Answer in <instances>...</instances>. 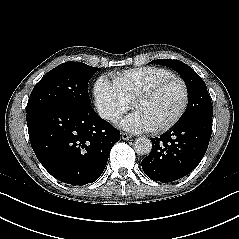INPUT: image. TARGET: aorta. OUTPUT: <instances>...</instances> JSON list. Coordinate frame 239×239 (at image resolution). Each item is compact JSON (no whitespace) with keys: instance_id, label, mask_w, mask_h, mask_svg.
I'll return each instance as SVG.
<instances>
[{"instance_id":"762f6f07","label":"aorta","mask_w":239,"mask_h":239,"mask_svg":"<svg viewBox=\"0 0 239 239\" xmlns=\"http://www.w3.org/2000/svg\"><path fill=\"white\" fill-rule=\"evenodd\" d=\"M134 150L139 155H148L152 150V142L146 137H139L135 140Z\"/></svg>"}]
</instances>
